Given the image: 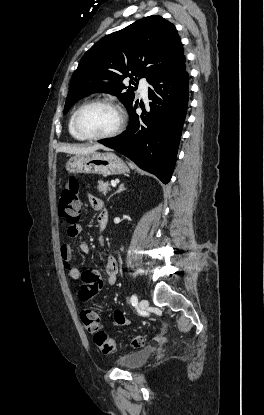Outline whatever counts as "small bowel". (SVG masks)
Wrapping results in <instances>:
<instances>
[{"instance_id":"1","label":"small bowel","mask_w":264,"mask_h":415,"mask_svg":"<svg viewBox=\"0 0 264 415\" xmlns=\"http://www.w3.org/2000/svg\"><path fill=\"white\" fill-rule=\"evenodd\" d=\"M89 202L92 208L98 212L97 216V226L99 230H103L108 222L109 214L108 211L104 208V204L101 200L90 196ZM79 249L82 253L88 254L90 252V247L87 243L82 242L79 245ZM60 255L62 263L65 268L68 270V275L71 280L78 281L81 276V270L79 267L72 265L73 252L72 246L68 243H64L60 247ZM117 262L114 257L107 256L105 259V273L106 281L109 285H114L117 281ZM129 321L126 319L123 312L117 310L114 312V324L115 325H126Z\"/></svg>"}]
</instances>
